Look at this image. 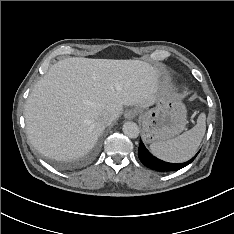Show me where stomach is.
<instances>
[{
	"label": "stomach",
	"mask_w": 234,
	"mask_h": 234,
	"mask_svg": "<svg viewBox=\"0 0 234 234\" xmlns=\"http://www.w3.org/2000/svg\"><path fill=\"white\" fill-rule=\"evenodd\" d=\"M161 97L156 106L141 113L143 138L147 143L164 142L180 134L187 124V110L176 96L159 86Z\"/></svg>",
	"instance_id": "1"
}]
</instances>
